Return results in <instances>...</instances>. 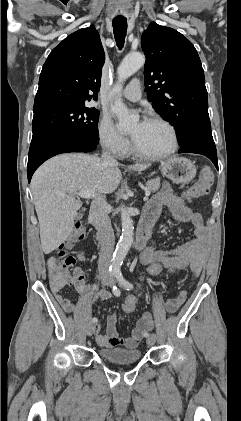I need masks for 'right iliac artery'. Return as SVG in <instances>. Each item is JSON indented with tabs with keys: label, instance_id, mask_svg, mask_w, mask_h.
I'll list each match as a JSON object with an SVG mask.
<instances>
[{
	"label": "right iliac artery",
	"instance_id": "1",
	"mask_svg": "<svg viewBox=\"0 0 241 421\" xmlns=\"http://www.w3.org/2000/svg\"><path fill=\"white\" fill-rule=\"evenodd\" d=\"M113 274H114V272H113V271H111V275H113ZM112 293H113L116 297L120 296V290H119L116 286H113V287H112ZM97 321H98V319H97L96 317L92 318V322H93V323H96Z\"/></svg>",
	"mask_w": 241,
	"mask_h": 421
}]
</instances>
